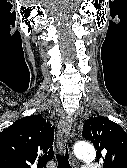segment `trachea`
<instances>
[{
	"instance_id": "obj_1",
	"label": "trachea",
	"mask_w": 127,
	"mask_h": 168,
	"mask_svg": "<svg viewBox=\"0 0 127 168\" xmlns=\"http://www.w3.org/2000/svg\"><path fill=\"white\" fill-rule=\"evenodd\" d=\"M56 158L58 161V168H72L68 161L69 155L67 146L65 147V153L62 154L58 153L56 155Z\"/></svg>"
}]
</instances>
